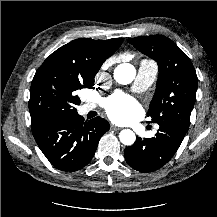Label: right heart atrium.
I'll use <instances>...</instances> for the list:
<instances>
[{
	"label": "right heart atrium",
	"instance_id": "obj_1",
	"mask_svg": "<svg viewBox=\"0 0 217 217\" xmlns=\"http://www.w3.org/2000/svg\"><path fill=\"white\" fill-rule=\"evenodd\" d=\"M109 63H110V61H106V62L103 64V66H102V71H103V72H105V70L108 69Z\"/></svg>",
	"mask_w": 217,
	"mask_h": 217
}]
</instances>
